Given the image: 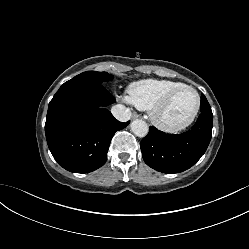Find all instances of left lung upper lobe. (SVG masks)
Masks as SVG:
<instances>
[{
	"instance_id": "obj_1",
	"label": "left lung upper lobe",
	"mask_w": 249,
	"mask_h": 249,
	"mask_svg": "<svg viewBox=\"0 0 249 249\" xmlns=\"http://www.w3.org/2000/svg\"><path fill=\"white\" fill-rule=\"evenodd\" d=\"M203 96H204V95H203ZM200 111H201V112H208V111H211V107H210L208 101L204 102L203 104L201 103Z\"/></svg>"
}]
</instances>
